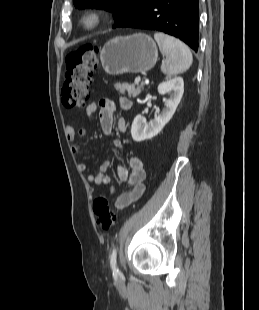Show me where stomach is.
I'll return each instance as SVG.
<instances>
[{
    "instance_id": "0dacf381",
    "label": "stomach",
    "mask_w": 259,
    "mask_h": 310,
    "mask_svg": "<svg viewBox=\"0 0 259 310\" xmlns=\"http://www.w3.org/2000/svg\"><path fill=\"white\" fill-rule=\"evenodd\" d=\"M158 49L154 40L145 34L115 37L100 52V60L109 75L145 72L154 67Z\"/></svg>"
}]
</instances>
